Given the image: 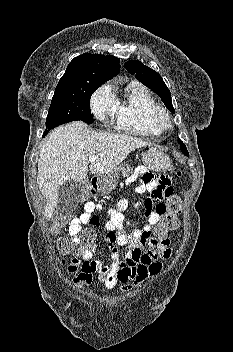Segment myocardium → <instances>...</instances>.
Here are the masks:
<instances>
[{"label":"myocardium","instance_id":"1","mask_svg":"<svg viewBox=\"0 0 233 352\" xmlns=\"http://www.w3.org/2000/svg\"><path fill=\"white\" fill-rule=\"evenodd\" d=\"M149 122L153 127L163 131L170 127L171 120L169 114L162 108H158L149 115Z\"/></svg>","mask_w":233,"mask_h":352}]
</instances>
